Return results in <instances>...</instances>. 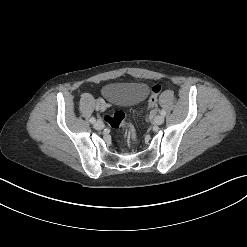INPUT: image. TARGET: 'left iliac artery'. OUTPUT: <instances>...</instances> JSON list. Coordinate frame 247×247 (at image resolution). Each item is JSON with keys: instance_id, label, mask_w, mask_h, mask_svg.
Returning <instances> with one entry per match:
<instances>
[{"instance_id": "obj_1", "label": "left iliac artery", "mask_w": 247, "mask_h": 247, "mask_svg": "<svg viewBox=\"0 0 247 247\" xmlns=\"http://www.w3.org/2000/svg\"><path fill=\"white\" fill-rule=\"evenodd\" d=\"M160 114H161L162 116H165V115H166V112H165L164 110H161V111H160Z\"/></svg>"}]
</instances>
